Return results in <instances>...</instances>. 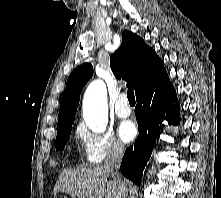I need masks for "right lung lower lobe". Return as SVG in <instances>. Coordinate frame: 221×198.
<instances>
[{
  "mask_svg": "<svg viewBox=\"0 0 221 198\" xmlns=\"http://www.w3.org/2000/svg\"><path fill=\"white\" fill-rule=\"evenodd\" d=\"M139 136L133 147H129L123 156L120 170L135 184L140 185L143 170L154 148L160 129V121L169 124L180 122V107L176 92L166 71L158 76L147 88L136 95Z\"/></svg>",
  "mask_w": 221,
  "mask_h": 198,
  "instance_id": "right-lung-lower-lobe-1",
  "label": "right lung lower lobe"
}]
</instances>
